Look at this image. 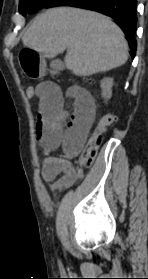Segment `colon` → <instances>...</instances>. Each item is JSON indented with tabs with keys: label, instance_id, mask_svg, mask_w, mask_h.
I'll list each match as a JSON object with an SVG mask.
<instances>
[{
	"label": "colon",
	"instance_id": "5ec220e1",
	"mask_svg": "<svg viewBox=\"0 0 148 279\" xmlns=\"http://www.w3.org/2000/svg\"><path fill=\"white\" fill-rule=\"evenodd\" d=\"M84 81L88 84L94 83V78L86 77ZM35 86L29 85L26 87L25 92L27 97L32 98L35 95ZM116 121L115 114L111 112H107L101 116L99 119L95 130L93 132L92 137L87 142L84 150L82 151L77 163L81 168H88L92 165L93 161L96 158L98 148L102 142V137L104 132L107 130L108 127L113 125Z\"/></svg>",
	"mask_w": 148,
	"mask_h": 279
}]
</instances>
